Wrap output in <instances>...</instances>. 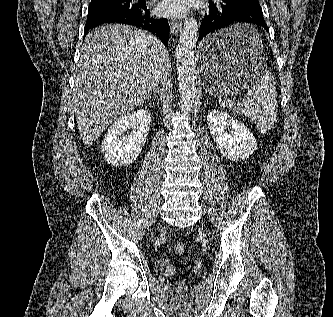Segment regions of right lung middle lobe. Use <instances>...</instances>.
I'll return each instance as SVG.
<instances>
[{"instance_id": "1", "label": "right lung middle lobe", "mask_w": 333, "mask_h": 317, "mask_svg": "<svg viewBox=\"0 0 333 317\" xmlns=\"http://www.w3.org/2000/svg\"><path fill=\"white\" fill-rule=\"evenodd\" d=\"M131 0H91L88 12L104 9H129L137 4H130Z\"/></svg>"}]
</instances>
